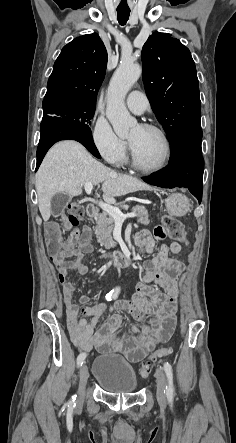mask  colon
Instances as JSON below:
<instances>
[{
	"label": "colon",
	"mask_w": 236,
	"mask_h": 443,
	"mask_svg": "<svg viewBox=\"0 0 236 443\" xmlns=\"http://www.w3.org/2000/svg\"><path fill=\"white\" fill-rule=\"evenodd\" d=\"M67 226H77L79 219L83 215L82 206L76 202H72L67 206ZM162 226L155 228L154 234L158 239H164L168 236L175 243H186L185 228L181 221L170 216L163 215ZM63 227L57 222H49L47 225V241L48 251L50 256L55 261H63L67 255H73L75 251L65 250L60 243L62 238ZM172 346H166L151 352L147 358L142 362L140 374L142 377H147L150 372L152 362L168 356L172 353ZM132 359H136V355L131 356Z\"/></svg>",
	"instance_id": "5ec220e1"
}]
</instances>
